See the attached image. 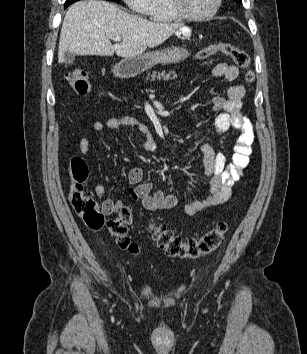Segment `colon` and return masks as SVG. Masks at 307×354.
Instances as JSON below:
<instances>
[{"instance_id": "1", "label": "colon", "mask_w": 307, "mask_h": 354, "mask_svg": "<svg viewBox=\"0 0 307 354\" xmlns=\"http://www.w3.org/2000/svg\"><path fill=\"white\" fill-rule=\"evenodd\" d=\"M216 53L228 56L236 66L244 69L247 82L252 83L254 81V73L250 69L249 54L232 42L211 44L201 49L197 53V58L206 60ZM65 77L78 94L85 95L88 92L89 78L86 71L82 69L68 70L65 72ZM69 171L72 180L69 199L77 215L93 230H100L106 226L114 243L119 248L136 252L137 244L128 236V228L133 222L131 210L127 206H122L116 211L117 216L115 218L106 221L105 215L109 213L103 204L100 205L84 191V184L88 178V167L85 161L77 155L73 156L69 163ZM148 230L157 246L163 249L169 257L198 259L219 248L225 239L227 224L218 222L214 228L202 236L186 241L162 224L151 223Z\"/></svg>"}]
</instances>
